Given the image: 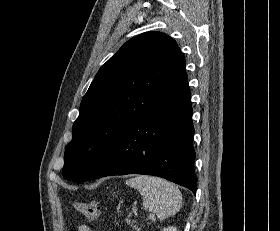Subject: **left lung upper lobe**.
<instances>
[{
	"instance_id": "1",
	"label": "left lung upper lobe",
	"mask_w": 280,
	"mask_h": 231,
	"mask_svg": "<svg viewBox=\"0 0 280 231\" xmlns=\"http://www.w3.org/2000/svg\"><path fill=\"white\" fill-rule=\"evenodd\" d=\"M187 79L176 42L161 32L127 41L98 71L80 105L63 176L83 183L119 136Z\"/></svg>"
}]
</instances>
